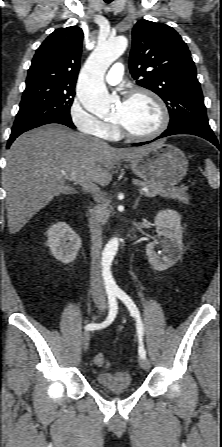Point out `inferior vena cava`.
Masks as SVG:
<instances>
[{"label":"inferior vena cava","mask_w":222,"mask_h":447,"mask_svg":"<svg viewBox=\"0 0 222 447\" xmlns=\"http://www.w3.org/2000/svg\"><path fill=\"white\" fill-rule=\"evenodd\" d=\"M91 233V290L92 295L98 300L104 301L105 294L102 280L101 250H102V229L97 218L89 219Z\"/></svg>","instance_id":"obj_1"}]
</instances>
